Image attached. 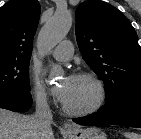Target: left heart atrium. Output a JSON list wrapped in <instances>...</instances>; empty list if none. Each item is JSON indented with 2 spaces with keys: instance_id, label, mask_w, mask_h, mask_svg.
I'll return each mask as SVG.
<instances>
[{
  "instance_id": "39dd6f15",
  "label": "left heart atrium",
  "mask_w": 141,
  "mask_h": 139,
  "mask_svg": "<svg viewBox=\"0 0 141 139\" xmlns=\"http://www.w3.org/2000/svg\"><path fill=\"white\" fill-rule=\"evenodd\" d=\"M72 77H65L53 88L54 94L58 97L63 103L67 99L71 86Z\"/></svg>"
}]
</instances>
